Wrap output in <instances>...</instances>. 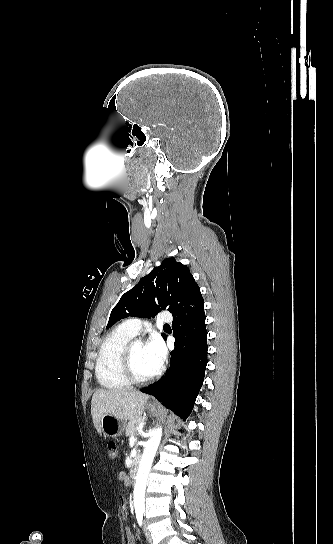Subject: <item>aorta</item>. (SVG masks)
Masks as SVG:
<instances>
[{
	"label": "aorta",
	"instance_id": "aorta-1",
	"mask_svg": "<svg viewBox=\"0 0 333 544\" xmlns=\"http://www.w3.org/2000/svg\"><path fill=\"white\" fill-rule=\"evenodd\" d=\"M162 429L157 428L153 431L152 436L147 441L144 452L141 458L139 470L136 476V482L134 486V506L136 508H144L145 490L148 474L150 472L153 459L155 457L157 448L161 441Z\"/></svg>",
	"mask_w": 333,
	"mask_h": 544
}]
</instances>
